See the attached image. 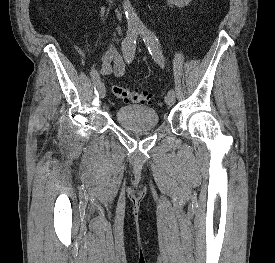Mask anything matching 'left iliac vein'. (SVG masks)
Returning <instances> with one entry per match:
<instances>
[{
  "label": "left iliac vein",
  "instance_id": "1",
  "mask_svg": "<svg viewBox=\"0 0 275 263\" xmlns=\"http://www.w3.org/2000/svg\"><path fill=\"white\" fill-rule=\"evenodd\" d=\"M165 103L170 106L173 105L175 103V94L167 93L165 96Z\"/></svg>",
  "mask_w": 275,
  "mask_h": 263
}]
</instances>
